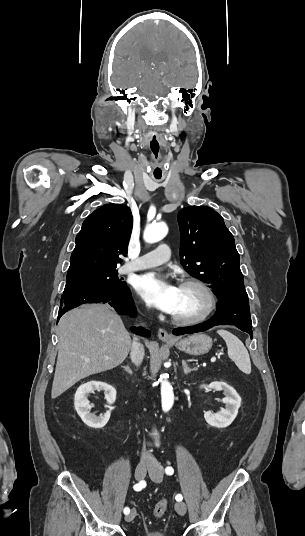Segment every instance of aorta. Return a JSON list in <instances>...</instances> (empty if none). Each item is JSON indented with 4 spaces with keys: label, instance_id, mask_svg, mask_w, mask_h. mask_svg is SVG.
<instances>
[{
    "label": "aorta",
    "instance_id": "obj_1",
    "mask_svg": "<svg viewBox=\"0 0 305 536\" xmlns=\"http://www.w3.org/2000/svg\"><path fill=\"white\" fill-rule=\"evenodd\" d=\"M168 233V227L165 223H155L148 225L144 230V240L147 243H156L162 240ZM162 409L164 412L169 411L174 403L173 388L165 377H160Z\"/></svg>",
    "mask_w": 305,
    "mask_h": 536
}]
</instances>
